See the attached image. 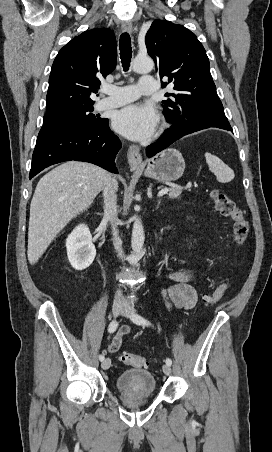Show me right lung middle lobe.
<instances>
[{
  "mask_svg": "<svg viewBox=\"0 0 272 452\" xmlns=\"http://www.w3.org/2000/svg\"><path fill=\"white\" fill-rule=\"evenodd\" d=\"M93 105L71 109L67 111L46 114L43 118V125L52 123H69L79 126H92L102 121L91 112Z\"/></svg>",
  "mask_w": 272,
  "mask_h": 452,
  "instance_id": "obj_1",
  "label": "right lung middle lobe"
}]
</instances>
